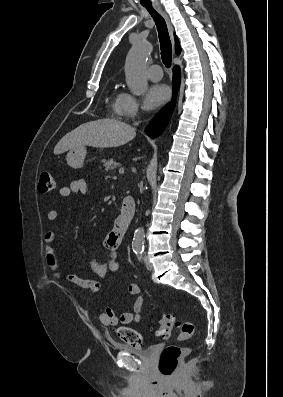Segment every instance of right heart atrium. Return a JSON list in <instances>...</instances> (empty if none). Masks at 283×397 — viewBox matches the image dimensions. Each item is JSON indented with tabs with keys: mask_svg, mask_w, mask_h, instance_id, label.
I'll list each match as a JSON object with an SVG mask.
<instances>
[{
	"mask_svg": "<svg viewBox=\"0 0 283 397\" xmlns=\"http://www.w3.org/2000/svg\"><path fill=\"white\" fill-rule=\"evenodd\" d=\"M142 112V106L139 100L129 93H122L117 106L115 108V113L125 119H134L140 115Z\"/></svg>",
	"mask_w": 283,
	"mask_h": 397,
	"instance_id": "1",
	"label": "right heart atrium"
}]
</instances>
